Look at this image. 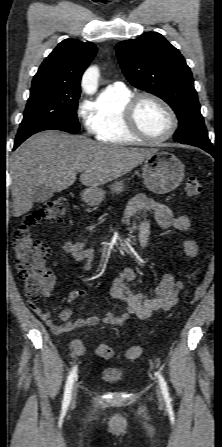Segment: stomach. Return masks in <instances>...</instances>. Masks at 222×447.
Listing matches in <instances>:
<instances>
[{
    "mask_svg": "<svg viewBox=\"0 0 222 447\" xmlns=\"http://www.w3.org/2000/svg\"><path fill=\"white\" fill-rule=\"evenodd\" d=\"M142 176L145 186L154 193L164 194L176 189L184 178V165L173 154L166 151H155L142 164ZM111 189L115 193L123 191V182H115ZM105 192L98 187H89L83 198L91 206L99 205Z\"/></svg>",
    "mask_w": 222,
    "mask_h": 447,
    "instance_id": "0dacf381",
    "label": "stomach"
}]
</instances>
